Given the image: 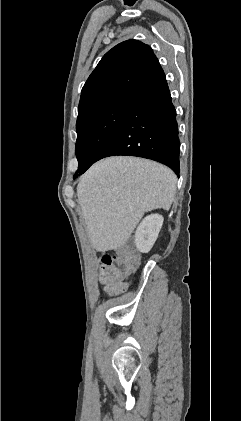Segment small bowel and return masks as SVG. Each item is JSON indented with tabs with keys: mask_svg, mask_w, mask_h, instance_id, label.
<instances>
[{
	"mask_svg": "<svg viewBox=\"0 0 241 421\" xmlns=\"http://www.w3.org/2000/svg\"><path fill=\"white\" fill-rule=\"evenodd\" d=\"M106 290L111 296H116L123 291V288L106 284Z\"/></svg>",
	"mask_w": 241,
	"mask_h": 421,
	"instance_id": "obj_1",
	"label": "small bowel"
}]
</instances>
